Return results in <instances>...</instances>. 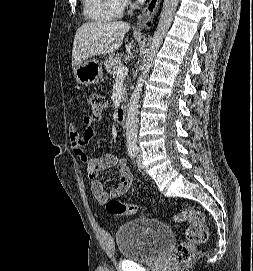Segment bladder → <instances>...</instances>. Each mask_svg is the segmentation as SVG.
Here are the masks:
<instances>
[{
    "instance_id": "obj_1",
    "label": "bladder",
    "mask_w": 253,
    "mask_h": 271,
    "mask_svg": "<svg viewBox=\"0 0 253 271\" xmlns=\"http://www.w3.org/2000/svg\"><path fill=\"white\" fill-rule=\"evenodd\" d=\"M115 239L121 257L136 262L159 258L173 239V230L154 218L130 220L116 229Z\"/></svg>"
}]
</instances>
